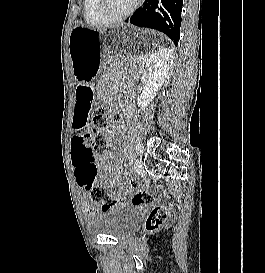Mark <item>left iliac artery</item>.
I'll return each mask as SVG.
<instances>
[{
    "label": "left iliac artery",
    "instance_id": "obj_1",
    "mask_svg": "<svg viewBox=\"0 0 265 273\" xmlns=\"http://www.w3.org/2000/svg\"><path fill=\"white\" fill-rule=\"evenodd\" d=\"M136 152H137V154L141 152V149L139 146H136Z\"/></svg>",
    "mask_w": 265,
    "mask_h": 273
}]
</instances>
